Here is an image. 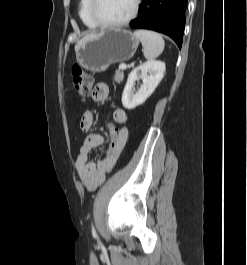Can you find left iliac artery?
<instances>
[{
    "label": "left iliac artery",
    "instance_id": "1",
    "mask_svg": "<svg viewBox=\"0 0 247 265\" xmlns=\"http://www.w3.org/2000/svg\"><path fill=\"white\" fill-rule=\"evenodd\" d=\"M92 234H93V237H97V234H96V231H95V228L92 226Z\"/></svg>",
    "mask_w": 247,
    "mask_h": 265
}]
</instances>
